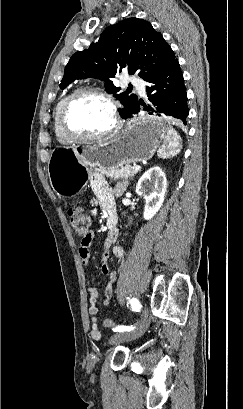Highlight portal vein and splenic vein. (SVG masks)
I'll list each match as a JSON object with an SVG mask.
<instances>
[{
  "mask_svg": "<svg viewBox=\"0 0 243 409\" xmlns=\"http://www.w3.org/2000/svg\"><path fill=\"white\" fill-rule=\"evenodd\" d=\"M133 169L139 171V170L141 169V166H139V165H134V166H133Z\"/></svg>",
  "mask_w": 243,
  "mask_h": 409,
  "instance_id": "1",
  "label": "portal vein and splenic vein"
}]
</instances>
